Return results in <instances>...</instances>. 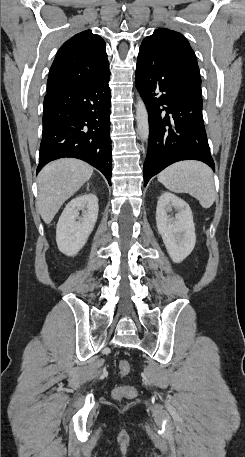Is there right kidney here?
Segmentation results:
<instances>
[{"label": "right kidney", "instance_id": "right-kidney-1", "mask_svg": "<svg viewBox=\"0 0 245 457\" xmlns=\"http://www.w3.org/2000/svg\"><path fill=\"white\" fill-rule=\"evenodd\" d=\"M81 214V216H79ZM98 216L96 194H80L66 204L56 229V243L59 251L74 257L84 247L91 235Z\"/></svg>", "mask_w": 245, "mask_h": 457}]
</instances>
